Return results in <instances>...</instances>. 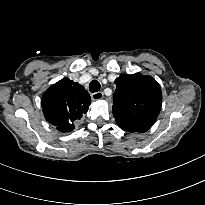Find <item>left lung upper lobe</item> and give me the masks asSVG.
Returning a JSON list of instances; mask_svg holds the SVG:
<instances>
[{
	"instance_id": "left-lung-upper-lobe-1",
	"label": "left lung upper lobe",
	"mask_w": 205,
	"mask_h": 205,
	"mask_svg": "<svg viewBox=\"0 0 205 205\" xmlns=\"http://www.w3.org/2000/svg\"><path fill=\"white\" fill-rule=\"evenodd\" d=\"M113 115L127 132H146L155 122L162 105L158 82L140 73L120 75L115 80Z\"/></svg>"
}]
</instances>
